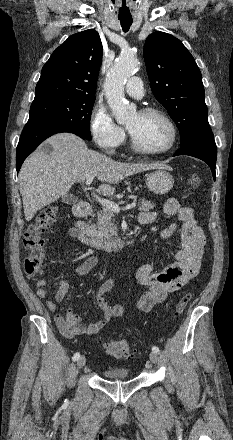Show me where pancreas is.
<instances>
[{"instance_id":"1","label":"pancreas","mask_w":233,"mask_h":440,"mask_svg":"<svg viewBox=\"0 0 233 440\" xmlns=\"http://www.w3.org/2000/svg\"><path fill=\"white\" fill-rule=\"evenodd\" d=\"M155 205L145 199L139 200V210L148 212L153 210ZM97 224L93 225L96 235L104 241L117 237V225L115 224L114 211L109 208H102L97 213Z\"/></svg>"}]
</instances>
